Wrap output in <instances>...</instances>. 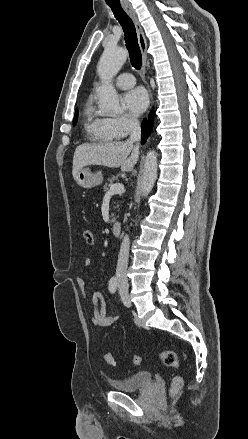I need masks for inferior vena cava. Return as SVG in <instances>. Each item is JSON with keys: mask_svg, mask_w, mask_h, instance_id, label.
Returning <instances> with one entry per match:
<instances>
[{"mask_svg": "<svg viewBox=\"0 0 248 439\" xmlns=\"http://www.w3.org/2000/svg\"><path fill=\"white\" fill-rule=\"evenodd\" d=\"M131 124V132L129 141L137 144L135 147L139 149V142L141 139V127L140 123L137 119L133 118L130 121ZM128 258H129V237L125 236L118 256L117 268H116V277L119 286H128L127 279V267H128Z\"/></svg>", "mask_w": 248, "mask_h": 439, "instance_id": "602c4592", "label": "inferior vena cava"}]
</instances>
